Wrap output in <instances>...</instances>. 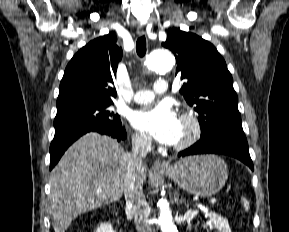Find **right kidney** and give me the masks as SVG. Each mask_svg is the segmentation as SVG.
I'll return each instance as SVG.
<instances>
[{
    "mask_svg": "<svg viewBox=\"0 0 289 232\" xmlns=\"http://www.w3.org/2000/svg\"><path fill=\"white\" fill-rule=\"evenodd\" d=\"M96 232H114L111 223H101Z\"/></svg>",
    "mask_w": 289,
    "mask_h": 232,
    "instance_id": "ca27d5eb",
    "label": "right kidney"
}]
</instances>
